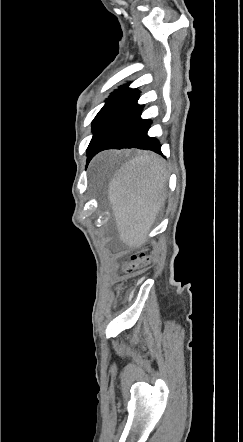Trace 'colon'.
<instances>
[{
    "label": "colon",
    "mask_w": 243,
    "mask_h": 442,
    "mask_svg": "<svg viewBox=\"0 0 243 442\" xmlns=\"http://www.w3.org/2000/svg\"><path fill=\"white\" fill-rule=\"evenodd\" d=\"M155 260V257L150 254L143 255H130L128 257L127 263H121L119 265V272H123L126 276H130L131 274H140L141 270H149L151 268L152 262ZM123 289L122 284L117 285V291L114 292V297H120V292Z\"/></svg>",
    "instance_id": "obj_1"
}]
</instances>
